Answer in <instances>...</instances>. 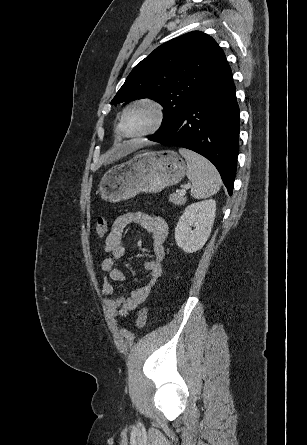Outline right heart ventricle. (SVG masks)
Wrapping results in <instances>:
<instances>
[{"label": "right heart ventricle", "instance_id": "right-heart-ventricle-1", "mask_svg": "<svg viewBox=\"0 0 307 445\" xmlns=\"http://www.w3.org/2000/svg\"><path fill=\"white\" fill-rule=\"evenodd\" d=\"M116 135H117L118 140H120L121 139V135H120V130H119L118 126L116 128Z\"/></svg>", "mask_w": 307, "mask_h": 445}]
</instances>
